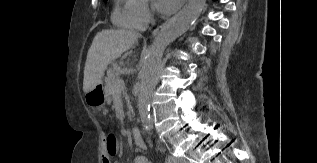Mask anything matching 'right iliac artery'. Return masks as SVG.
<instances>
[{
	"mask_svg": "<svg viewBox=\"0 0 317 163\" xmlns=\"http://www.w3.org/2000/svg\"><path fill=\"white\" fill-rule=\"evenodd\" d=\"M165 163H169V160H166Z\"/></svg>",
	"mask_w": 317,
	"mask_h": 163,
	"instance_id": "right-iliac-artery-1",
	"label": "right iliac artery"
}]
</instances>
